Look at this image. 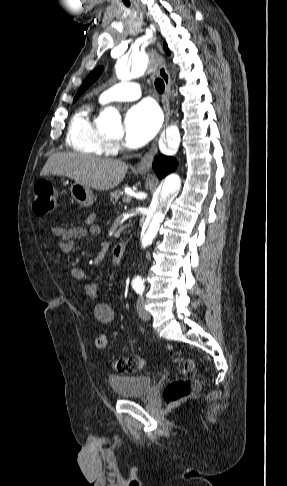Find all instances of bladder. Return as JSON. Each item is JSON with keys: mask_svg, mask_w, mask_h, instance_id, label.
Listing matches in <instances>:
<instances>
[{"mask_svg": "<svg viewBox=\"0 0 287 486\" xmlns=\"http://www.w3.org/2000/svg\"><path fill=\"white\" fill-rule=\"evenodd\" d=\"M108 382L113 392L123 399L144 396L153 386V378L148 375H115Z\"/></svg>", "mask_w": 287, "mask_h": 486, "instance_id": "31cf9c89", "label": "bladder"}]
</instances>
